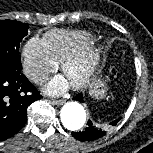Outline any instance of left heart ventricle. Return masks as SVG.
Here are the masks:
<instances>
[{"instance_id":"left-heart-ventricle-1","label":"left heart ventricle","mask_w":153,"mask_h":153,"mask_svg":"<svg viewBox=\"0 0 153 153\" xmlns=\"http://www.w3.org/2000/svg\"><path fill=\"white\" fill-rule=\"evenodd\" d=\"M81 71L78 68L72 69L68 75L66 76L68 81L71 83L75 80H77L80 77Z\"/></svg>"}]
</instances>
